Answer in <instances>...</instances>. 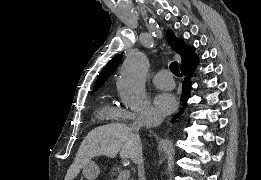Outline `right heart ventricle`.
<instances>
[{"label":"right heart ventricle","mask_w":261,"mask_h":180,"mask_svg":"<svg viewBox=\"0 0 261 180\" xmlns=\"http://www.w3.org/2000/svg\"><path fill=\"white\" fill-rule=\"evenodd\" d=\"M119 110L114 107L110 101H101L96 108L95 121H109L118 122L119 120ZM102 127V126H97Z\"/></svg>","instance_id":"1"}]
</instances>
